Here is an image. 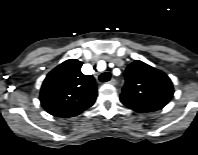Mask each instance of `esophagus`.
I'll use <instances>...</instances> for the list:
<instances>
[{"label":"esophagus","mask_w":198,"mask_h":155,"mask_svg":"<svg viewBox=\"0 0 198 155\" xmlns=\"http://www.w3.org/2000/svg\"><path fill=\"white\" fill-rule=\"evenodd\" d=\"M108 83L112 84V85H115L117 82H116V80L114 78H112Z\"/></svg>","instance_id":"34e87169"}]
</instances>
